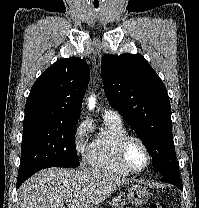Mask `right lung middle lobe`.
Returning a JSON list of instances; mask_svg holds the SVG:
<instances>
[{"label": "right lung middle lobe", "mask_w": 199, "mask_h": 208, "mask_svg": "<svg viewBox=\"0 0 199 208\" xmlns=\"http://www.w3.org/2000/svg\"><path fill=\"white\" fill-rule=\"evenodd\" d=\"M76 120L45 116L24 118L18 177H30L48 167H77Z\"/></svg>", "instance_id": "dd1d6c3e"}]
</instances>
